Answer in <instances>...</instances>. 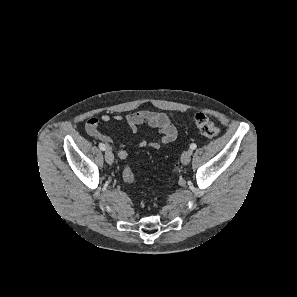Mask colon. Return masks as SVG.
<instances>
[{"mask_svg": "<svg viewBox=\"0 0 297 297\" xmlns=\"http://www.w3.org/2000/svg\"><path fill=\"white\" fill-rule=\"evenodd\" d=\"M194 123L198 131L206 137L213 138L218 136V134L220 133L219 126L214 121H212L209 117H207L205 114H202V113L196 114L194 117ZM117 157L119 159L126 160L127 152L125 150H119L117 152ZM123 180L127 184L134 183L135 176L130 167L124 168Z\"/></svg>", "mask_w": 297, "mask_h": 297, "instance_id": "1", "label": "colon"}]
</instances>
